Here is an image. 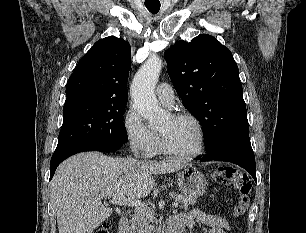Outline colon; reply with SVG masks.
Masks as SVG:
<instances>
[{
	"label": "colon",
	"instance_id": "1",
	"mask_svg": "<svg viewBox=\"0 0 306 233\" xmlns=\"http://www.w3.org/2000/svg\"><path fill=\"white\" fill-rule=\"evenodd\" d=\"M213 177L215 181L221 185L234 184L236 186L239 197L234 206L233 214L235 217L244 216L249 207L248 194L251 189V183L248 176L236 168L221 166L216 169ZM110 229V223L105 221L94 233H110Z\"/></svg>",
	"mask_w": 306,
	"mask_h": 233
}]
</instances>
